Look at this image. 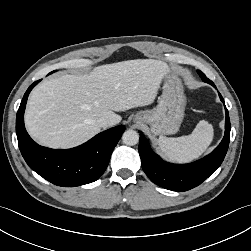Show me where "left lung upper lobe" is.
Segmentation results:
<instances>
[{"instance_id":"left-lung-upper-lobe-1","label":"left lung upper lobe","mask_w":251,"mask_h":251,"mask_svg":"<svg viewBox=\"0 0 251 251\" xmlns=\"http://www.w3.org/2000/svg\"><path fill=\"white\" fill-rule=\"evenodd\" d=\"M198 74L200 75V77L202 78V80L204 81V82H209L210 80L205 76V74L204 73H202L201 71H199L198 70Z\"/></svg>"}]
</instances>
